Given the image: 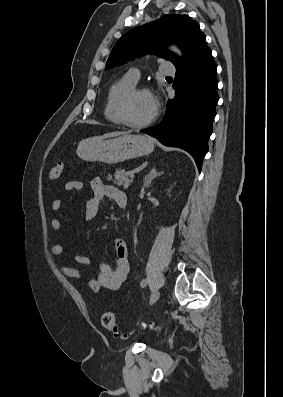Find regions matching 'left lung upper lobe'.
Listing matches in <instances>:
<instances>
[{
  "instance_id": "5c2ea615",
  "label": "left lung upper lobe",
  "mask_w": 283,
  "mask_h": 397,
  "mask_svg": "<svg viewBox=\"0 0 283 397\" xmlns=\"http://www.w3.org/2000/svg\"><path fill=\"white\" fill-rule=\"evenodd\" d=\"M168 43H176L183 50L186 60L192 52L206 44V36L200 31L199 24L188 15H163L154 22L124 34L113 47L105 69L114 68L136 55L146 53L157 54L176 67L184 60L162 49Z\"/></svg>"
}]
</instances>
